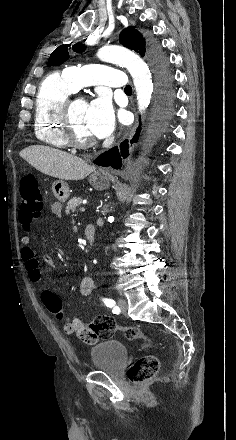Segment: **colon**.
I'll use <instances>...</instances> for the list:
<instances>
[{"label": "colon", "instance_id": "1", "mask_svg": "<svg viewBox=\"0 0 236 440\" xmlns=\"http://www.w3.org/2000/svg\"><path fill=\"white\" fill-rule=\"evenodd\" d=\"M21 204L19 218L24 226H29L31 222L38 218L44 208L43 197L39 188L38 180L33 174H26L20 182ZM43 301L46 308L58 318H63V304L61 299L51 291L43 294ZM89 330L94 331L93 339H107L115 332L122 331L130 339H142L144 348H150V340L145 337L139 328L135 326H119L111 317L98 316L88 324ZM159 359L152 354L140 357L128 371V379L133 384L143 383L153 378L159 370Z\"/></svg>", "mask_w": 236, "mask_h": 440}]
</instances>
